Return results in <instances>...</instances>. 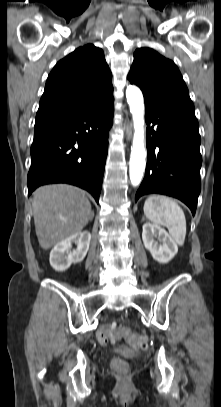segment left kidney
Returning <instances> with one entry per match:
<instances>
[{
  "mask_svg": "<svg viewBox=\"0 0 221 407\" xmlns=\"http://www.w3.org/2000/svg\"><path fill=\"white\" fill-rule=\"evenodd\" d=\"M159 238V243L154 240ZM142 240L145 248L159 263H168L178 252L175 240L157 224L146 222L143 225Z\"/></svg>",
  "mask_w": 221,
  "mask_h": 407,
  "instance_id": "5707ae66",
  "label": "left kidney"
}]
</instances>
